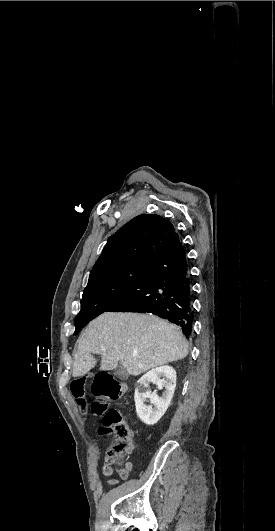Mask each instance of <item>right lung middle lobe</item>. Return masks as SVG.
I'll list each match as a JSON object with an SVG mask.
<instances>
[{"mask_svg":"<svg viewBox=\"0 0 275 531\" xmlns=\"http://www.w3.org/2000/svg\"><path fill=\"white\" fill-rule=\"evenodd\" d=\"M145 267L146 265L126 267L88 282L83 291L81 310L75 318L74 334L117 303L136 283Z\"/></svg>","mask_w":275,"mask_h":531,"instance_id":"1","label":"right lung middle lobe"}]
</instances>
